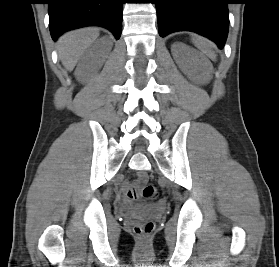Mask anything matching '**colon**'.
Returning a JSON list of instances; mask_svg holds the SVG:
<instances>
[{
  "instance_id": "5ec220e1",
  "label": "colon",
  "mask_w": 279,
  "mask_h": 267,
  "mask_svg": "<svg viewBox=\"0 0 279 267\" xmlns=\"http://www.w3.org/2000/svg\"><path fill=\"white\" fill-rule=\"evenodd\" d=\"M147 181L146 174H140L137 180V184H145ZM133 192H137L134 190ZM142 196L148 200H155L158 197L157 189L152 185H144L142 188ZM154 229V223L152 221H145L135 225L134 231L136 235L140 238H147L151 235Z\"/></svg>"
}]
</instances>
